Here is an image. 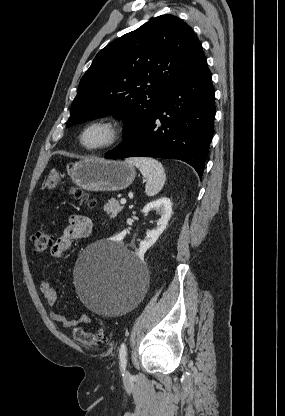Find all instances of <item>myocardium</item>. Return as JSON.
Segmentation results:
<instances>
[{
	"mask_svg": "<svg viewBox=\"0 0 285 416\" xmlns=\"http://www.w3.org/2000/svg\"><path fill=\"white\" fill-rule=\"evenodd\" d=\"M102 128L106 132V141L97 147H88L84 144V137L86 133L93 129V128ZM121 139V129L119 125L107 118H98L94 119L81 129L79 136H78V143L79 146L82 148L83 151L89 154H99L105 152L113 147H115Z\"/></svg>",
	"mask_w": 285,
	"mask_h": 416,
	"instance_id": "myocardium-1",
	"label": "myocardium"
}]
</instances>
